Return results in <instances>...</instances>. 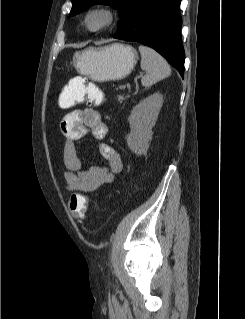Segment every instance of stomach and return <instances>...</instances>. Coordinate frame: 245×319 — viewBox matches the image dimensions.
Here are the masks:
<instances>
[{
  "label": "stomach",
  "instance_id": "obj_1",
  "mask_svg": "<svg viewBox=\"0 0 245 319\" xmlns=\"http://www.w3.org/2000/svg\"><path fill=\"white\" fill-rule=\"evenodd\" d=\"M137 59L138 54L133 47L114 43L76 52L71 63L80 74L94 81L106 82L125 78Z\"/></svg>",
  "mask_w": 245,
  "mask_h": 319
}]
</instances>
